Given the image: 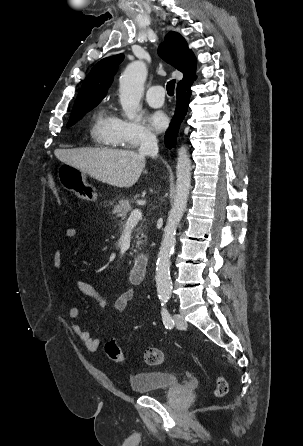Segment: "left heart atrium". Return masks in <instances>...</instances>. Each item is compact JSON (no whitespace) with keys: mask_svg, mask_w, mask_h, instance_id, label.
Returning <instances> with one entry per match:
<instances>
[{"mask_svg":"<svg viewBox=\"0 0 303 446\" xmlns=\"http://www.w3.org/2000/svg\"><path fill=\"white\" fill-rule=\"evenodd\" d=\"M150 125L157 132H163L169 124L167 115L162 111H154L148 116Z\"/></svg>","mask_w":303,"mask_h":446,"instance_id":"1","label":"left heart atrium"}]
</instances>
